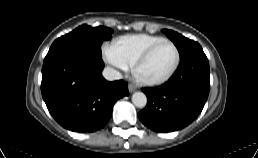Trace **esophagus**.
Masks as SVG:
<instances>
[{"label":"esophagus","instance_id":"esophagus-1","mask_svg":"<svg viewBox=\"0 0 258 158\" xmlns=\"http://www.w3.org/2000/svg\"><path fill=\"white\" fill-rule=\"evenodd\" d=\"M129 92H134L137 89L136 83L132 82L128 85Z\"/></svg>","mask_w":258,"mask_h":158}]
</instances>
